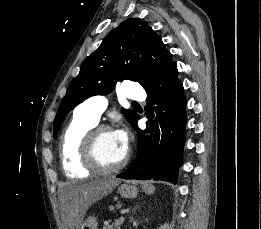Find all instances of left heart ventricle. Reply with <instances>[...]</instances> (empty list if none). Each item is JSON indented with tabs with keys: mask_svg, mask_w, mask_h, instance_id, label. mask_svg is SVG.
<instances>
[{
	"mask_svg": "<svg viewBox=\"0 0 261 229\" xmlns=\"http://www.w3.org/2000/svg\"><path fill=\"white\" fill-rule=\"evenodd\" d=\"M97 150L102 163L108 166L116 165L125 156L113 131L104 133L100 137Z\"/></svg>",
	"mask_w": 261,
	"mask_h": 229,
	"instance_id": "left-heart-ventricle-1",
	"label": "left heart ventricle"
}]
</instances>
